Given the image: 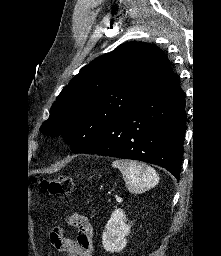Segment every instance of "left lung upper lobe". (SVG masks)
<instances>
[{"label": "left lung upper lobe", "instance_id": "1", "mask_svg": "<svg viewBox=\"0 0 221 256\" xmlns=\"http://www.w3.org/2000/svg\"><path fill=\"white\" fill-rule=\"evenodd\" d=\"M173 76L168 58L155 45L122 44L81 68L56 98L40 131L63 136L76 151Z\"/></svg>", "mask_w": 221, "mask_h": 256}]
</instances>
